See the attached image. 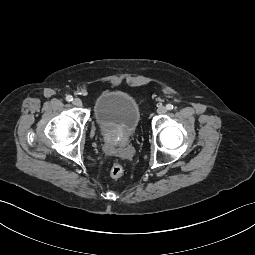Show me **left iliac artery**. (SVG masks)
I'll return each mask as SVG.
<instances>
[{
  "label": "left iliac artery",
  "mask_w": 255,
  "mask_h": 255,
  "mask_svg": "<svg viewBox=\"0 0 255 255\" xmlns=\"http://www.w3.org/2000/svg\"><path fill=\"white\" fill-rule=\"evenodd\" d=\"M166 108H167V110H172L173 109V105L172 104H167Z\"/></svg>",
  "instance_id": "1"
}]
</instances>
